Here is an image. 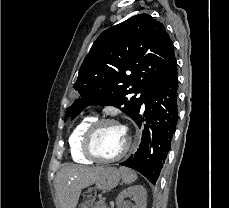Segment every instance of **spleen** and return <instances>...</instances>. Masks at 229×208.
Segmentation results:
<instances>
[{"instance_id":"1","label":"spleen","mask_w":229,"mask_h":208,"mask_svg":"<svg viewBox=\"0 0 229 208\" xmlns=\"http://www.w3.org/2000/svg\"><path fill=\"white\" fill-rule=\"evenodd\" d=\"M119 172L121 174V178L124 184H132V182H135V180H137L136 172H133V170H129V168H119Z\"/></svg>"}]
</instances>
